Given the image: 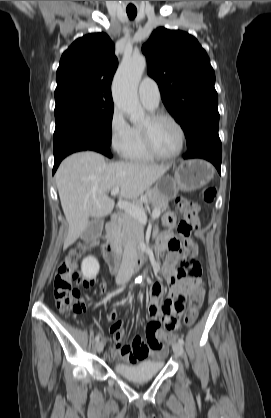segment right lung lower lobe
<instances>
[{
	"mask_svg": "<svg viewBox=\"0 0 271 418\" xmlns=\"http://www.w3.org/2000/svg\"><path fill=\"white\" fill-rule=\"evenodd\" d=\"M111 141H109L103 135H93L85 138L70 140L64 143H61L54 147V167H53V174L56 171L57 167L59 166L60 162L69 154L77 152V151H84V150H93L100 152L107 157H111V153L109 150V145Z\"/></svg>",
	"mask_w": 271,
	"mask_h": 418,
	"instance_id": "obj_1",
	"label": "right lung lower lobe"
}]
</instances>
